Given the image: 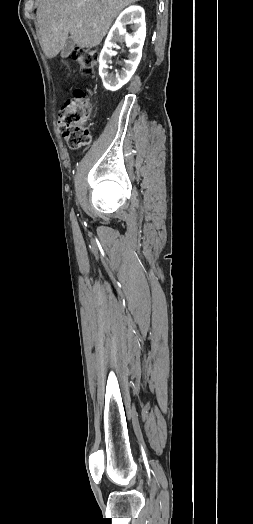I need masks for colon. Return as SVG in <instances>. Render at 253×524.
I'll use <instances>...</instances> for the list:
<instances>
[{
  "mask_svg": "<svg viewBox=\"0 0 253 524\" xmlns=\"http://www.w3.org/2000/svg\"><path fill=\"white\" fill-rule=\"evenodd\" d=\"M100 51L95 47L77 48L74 59L85 76L94 73ZM58 130L69 147L75 149L91 143L89 127V98L82 89H74L62 104L58 114Z\"/></svg>",
  "mask_w": 253,
  "mask_h": 524,
  "instance_id": "colon-1",
  "label": "colon"
}]
</instances>
